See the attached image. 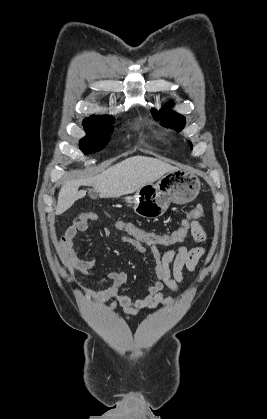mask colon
<instances>
[{"label":"colon","mask_w":267,"mask_h":419,"mask_svg":"<svg viewBox=\"0 0 267 419\" xmlns=\"http://www.w3.org/2000/svg\"><path fill=\"white\" fill-rule=\"evenodd\" d=\"M203 214V207L197 206L190 211L177 229L169 233H157L126 221H116L114 227L122 234V242L130 246L139 244L150 248H166L183 242L190 231L191 222L198 220Z\"/></svg>","instance_id":"1"}]
</instances>
